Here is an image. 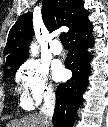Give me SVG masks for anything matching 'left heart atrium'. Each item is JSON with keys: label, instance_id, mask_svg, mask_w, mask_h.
<instances>
[{"label": "left heart atrium", "instance_id": "1", "mask_svg": "<svg viewBox=\"0 0 108 127\" xmlns=\"http://www.w3.org/2000/svg\"><path fill=\"white\" fill-rule=\"evenodd\" d=\"M53 73L57 80H64L66 78V69L60 64L55 65Z\"/></svg>", "mask_w": 108, "mask_h": 127}]
</instances>
